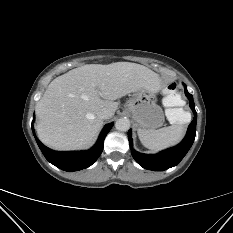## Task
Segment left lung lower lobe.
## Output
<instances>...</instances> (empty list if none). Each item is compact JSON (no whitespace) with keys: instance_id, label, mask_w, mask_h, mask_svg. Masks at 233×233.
<instances>
[{"instance_id":"obj_1","label":"left lung lower lobe","mask_w":233,"mask_h":233,"mask_svg":"<svg viewBox=\"0 0 233 233\" xmlns=\"http://www.w3.org/2000/svg\"><path fill=\"white\" fill-rule=\"evenodd\" d=\"M185 94L190 100V107L194 113V118L188 127L185 138L177 146L155 155L142 154L132 148L131 130L128 132V139L131 147L132 156L135 161L143 168L153 171H164L171 167H174L183 159V157L192 146L196 134L197 112L195 111L193 96L187 91L186 86Z\"/></svg>"}]
</instances>
